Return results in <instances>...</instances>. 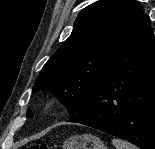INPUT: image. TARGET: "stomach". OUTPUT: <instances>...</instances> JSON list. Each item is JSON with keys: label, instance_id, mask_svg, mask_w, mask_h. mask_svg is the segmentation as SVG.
<instances>
[{"label": "stomach", "instance_id": "1", "mask_svg": "<svg viewBox=\"0 0 155 149\" xmlns=\"http://www.w3.org/2000/svg\"><path fill=\"white\" fill-rule=\"evenodd\" d=\"M63 149H107L104 142L91 134L71 136L63 143Z\"/></svg>", "mask_w": 155, "mask_h": 149}]
</instances>
